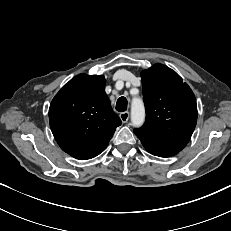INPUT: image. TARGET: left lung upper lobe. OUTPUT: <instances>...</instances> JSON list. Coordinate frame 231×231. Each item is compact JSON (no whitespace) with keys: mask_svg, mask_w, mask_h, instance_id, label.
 Here are the masks:
<instances>
[{"mask_svg":"<svg viewBox=\"0 0 231 231\" xmlns=\"http://www.w3.org/2000/svg\"><path fill=\"white\" fill-rule=\"evenodd\" d=\"M146 121L134 129L139 139L180 152L197 123L194 93L169 67L155 64L141 72Z\"/></svg>","mask_w":231,"mask_h":231,"instance_id":"left-lung-upper-lobe-1","label":"left lung upper lobe"}]
</instances>
